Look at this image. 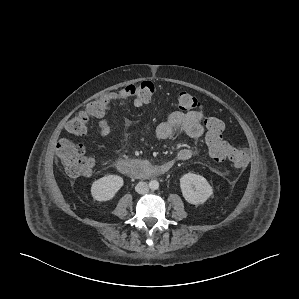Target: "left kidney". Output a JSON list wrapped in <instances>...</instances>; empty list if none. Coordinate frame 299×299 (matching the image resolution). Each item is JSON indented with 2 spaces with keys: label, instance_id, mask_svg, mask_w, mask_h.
<instances>
[{
  "label": "left kidney",
  "instance_id": "1",
  "mask_svg": "<svg viewBox=\"0 0 299 299\" xmlns=\"http://www.w3.org/2000/svg\"><path fill=\"white\" fill-rule=\"evenodd\" d=\"M180 188L185 200L194 205L205 203L213 194L208 181L194 173H187L180 178Z\"/></svg>",
  "mask_w": 299,
  "mask_h": 299
}]
</instances>
